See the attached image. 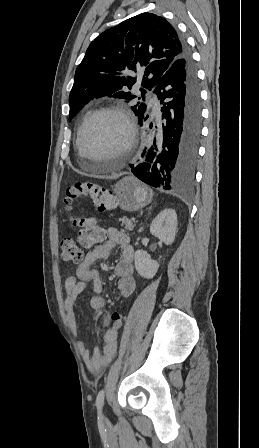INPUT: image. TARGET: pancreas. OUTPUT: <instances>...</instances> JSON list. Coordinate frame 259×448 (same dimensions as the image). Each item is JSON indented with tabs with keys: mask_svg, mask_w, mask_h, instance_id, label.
I'll use <instances>...</instances> for the list:
<instances>
[{
	"mask_svg": "<svg viewBox=\"0 0 259 448\" xmlns=\"http://www.w3.org/2000/svg\"><path fill=\"white\" fill-rule=\"evenodd\" d=\"M119 222H122L121 226H124L125 230H133L136 224H133L134 218L128 220V218H119Z\"/></svg>",
	"mask_w": 259,
	"mask_h": 448,
	"instance_id": "obj_1",
	"label": "pancreas"
}]
</instances>
